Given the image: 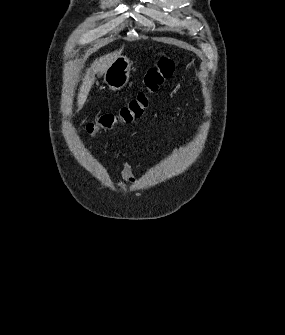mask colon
I'll return each mask as SVG.
<instances>
[{"label": "colon", "instance_id": "5ec220e1", "mask_svg": "<svg viewBox=\"0 0 285 335\" xmlns=\"http://www.w3.org/2000/svg\"><path fill=\"white\" fill-rule=\"evenodd\" d=\"M174 70V61L168 56H160L155 65L145 73V89L139 91L116 113L104 114L96 122L89 123L85 129L86 134L94 137L102 131L111 130L141 118L149 106L151 94L155 93L162 83L173 75Z\"/></svg>", "mask_w": 285, "mask_h": 335}]
</instances>
